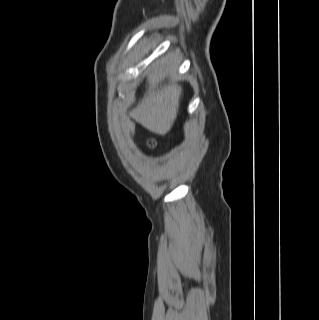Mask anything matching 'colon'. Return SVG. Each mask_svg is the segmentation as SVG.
I'll use <instances>...</instances> for the list:
<instances>
[{
	"instance_id": "1",
	"label": "colon",
	"mask_w": 319,
	"mask_h": 320,
	"mask_svg": "<svg viewBox=\"0 0 319 320\" xmlns=\"http://www.w3.org/2000/svg\"><path fill=\"white\" fill-rule=\"evenodd\" d=\"M151 146H154L155 145V142L154 141H150L149 143Z\"/></svg>"
}]
</instances>
